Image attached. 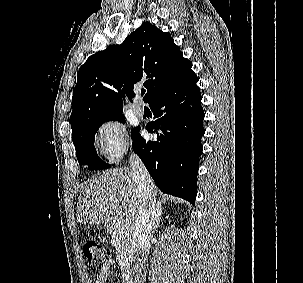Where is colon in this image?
Listing matches in <instances>:
<instances>
[{"label": "colon", "instance_id": "obj_1", "mask_svg": "<svg viewBox=\"0 0 303 283\" xmlns=\"http://www.w3.org/2000/svg\"><path fill=\"white\" fill-rule=\"evenodd\" d=\"M83 253L88 267L93 272H100L110 256V247L95 241H89L83 246Z\"/></svg>", "mask_w": 303, "mask_h": 283}]
</instances>
